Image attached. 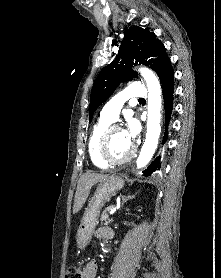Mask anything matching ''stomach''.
Wrapping results in <instances>:
<instances>
[{"label":"stomach","instance_id":"1","mask_svg":"<svg viewBox=\"0 0 221 278\" xmlns=\"http://www.w3.org/2000/svg\"><path fill=\"white\" fill-rule=\"evenodd\" d=\"M124 186L123 179L118 175H111L100 181L94 196L85 208L77 231L76 241L80 249H84L90 242L95 227L98 224V218L101 208L110 198L121 190Z\"/></svg>","mask_w":221,"mask_h":278}]
</instances>
